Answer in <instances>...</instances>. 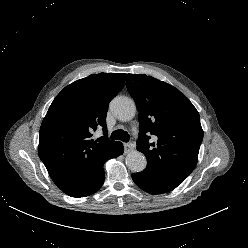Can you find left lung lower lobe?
Here are the masks:
<instances>
[{
    "instance_id": "0a47b994",
    "label": "left lung lower lobe",
    "mask_w": 248,
    "mask_h": 248,
    "mask_svg": "<svg viewBox=\"0 0 248 248\" xmlns=\"http://www.w3.org/2000/svg\"><path fill=\"white\" fill-rule=\"evenodd\" d=\"M132 179L142 190L153 195L166 193L174 189L165 183L155 180L150 173L145 171L133 173Z\"/></svg>"
}]
</instances>
